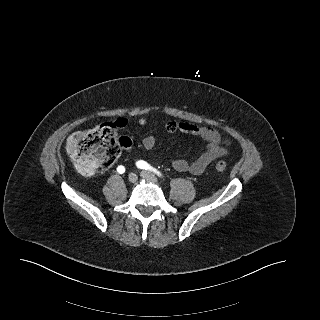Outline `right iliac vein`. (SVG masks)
Instances as JSON below:
<instances>
[{
	"label": "right iliac vein",
	"instance_id": "1",
	"mask_svg": "<svg viewBox=\"0 0 320 320\" xmlns=\"http://www.w3.org/2000/svg\"><path fill=\"white\" fill-rule=\"evenodd\" d=\"M128 180L130 183H135L137 181V175L134 173H130L128 176Z\"/></svg>",
	"mask_w": 320,
	"mask_h": 320
}]
</instances>
